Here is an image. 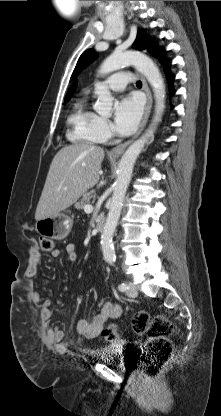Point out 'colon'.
<instances>
[{"instance_id":"colon-1","label":"colon","mask_w":221,"mask_h":416,"mask_svg":"<svg viewBox=\"0 0 221 416\" xmlns=\"http://www.w3.org/2000/svg\"><path fill=\"white\" fill-rule=\"evenodd\" d=\"M40 247L44 252H52L54 241L50 238H41ZM131 327L136 334L148 335L141 359V369L144 376L156 378L172 356L173 344L169 337L174 333V325L163 315L151 317L147 311L140 310L133 315ZM101 334L112 342L119 338V330L115 324L104 327Z\"/></svg>"}]
</instances>
